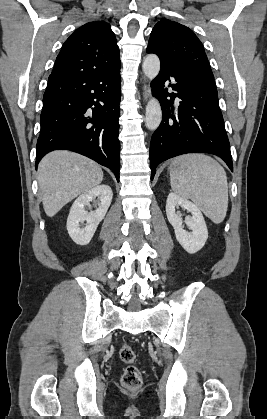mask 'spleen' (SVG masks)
Segmentation results:
<instances>
[{"instance_id":"obj_1","label":"spleen","mask_w":267,"mask_h":419,"mask_svg":"<svg viewBox=\"0 0 267 419\" xmlns=\"http://www.w3.org/2000/svg\"><path fill=\"white\" fill-rule=\"evenodd\" d=\"M170 182L177 195L191 199L213 223L223 222L228 208V183L224 168L215 159L200 153L175 158Z\"/></svg>"}]
</instances>
